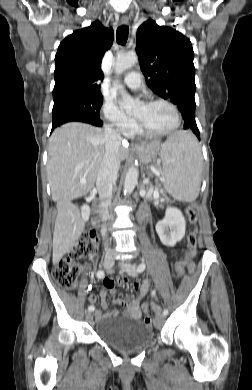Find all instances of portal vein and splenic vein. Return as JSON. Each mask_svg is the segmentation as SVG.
<instances>
[{"label": "portal vein and splenic vein", "instance_id": "obj_1", "mask_svg": "<svg viewBox=\"0 0 252 390\" xmlns=\"http://www.w3.org/2000/svg\"><path fill=\"white\" fill-rule=\"evenodd\" d=\"M151 171H152L153 173H156V174L159 173V172L155 169L154 166H151ZM80 182H81V184H85V183H86L85 180H81ZM144 182H145V183H148V180H145ZM158 197H159V193H158V192H154V198H158Z\"/></svg>", "mask_w": 252, "mask_h": 390}]
</instances>
